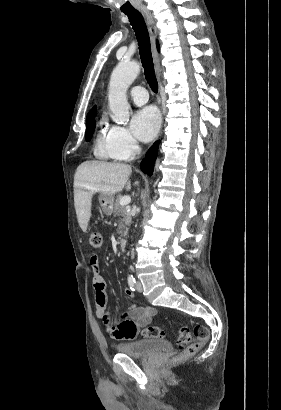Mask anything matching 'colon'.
I'll use <instances>...</instances> for the list:
<instances>
[{"mask_svg":"<svg viewBox=\"0 0 281 410\" xmlns=\"http://www.w3.org/2000/svg\"><path fill=\"white\" fill-rule=\"evenodd\" d=\"M90 245L93 248H99L102 245V235L99 232H91L89 236ZM144 336L149 338L163 339L165 332L158 326H148L143 331ZM194 339H192V332L187 325H182L177 333L176 341L178 345L183 347L180 355L174 358L175 361H181L194 356L202 345L206 343L209 337V331L205 326L196 325L193 329Z\"/></svg>","mask_w":281,"mask_h":410,"instance_id":"1","label":"colon"}]
</instances>
